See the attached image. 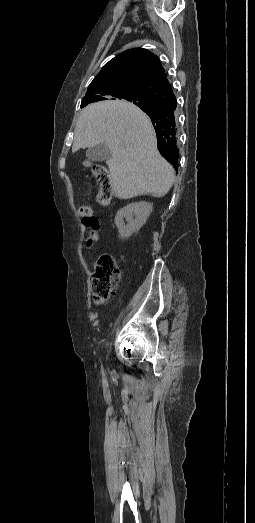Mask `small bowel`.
Masks as SVG:
<instances>
[{
  "label": "small bowel",
  "mask_w": 255,
  "mask_h": 523,
  "mask_svg": "<svg viewBox=\"0 0 255 523\" xmlns=\"http://www.w3.org/2000/svg\"><path fill=\"white\" fill-rule=\"evenodd\" d=\"M88 227V234L85 241V246L91 249L99 241V222L96 218L90 223L85 224Z\"/></svg>",
  "instance_id": "c3829d8e"
}]
</instances>
